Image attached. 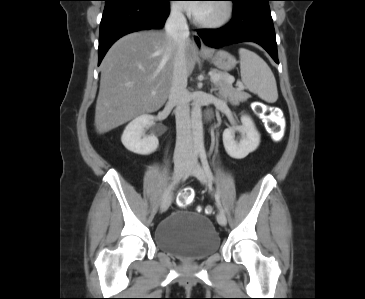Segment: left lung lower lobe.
<instances>
[{
  "mask_svg": "<svg viewBox=\"0 0 365 299\" xmlns=\"http://www.w3.org/2000/svg\"><path fill=\"white\" fill-rule=\"evenodd\" d=\"M233 1L231 22L219 29H199L203 42L214 48L240 42H255L261 45L278 61L275 30L269 8L271 0H230Z\"/></svg>",
  "mask_w": 365,
  "mask_h": 299,
  "instance_id": "obj_1",
  "label": "left lung lower lobe"
}]
</instances>
